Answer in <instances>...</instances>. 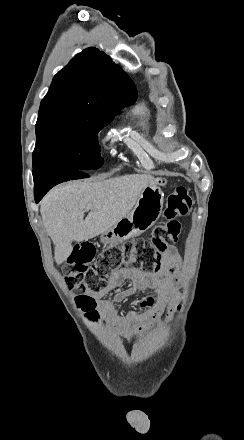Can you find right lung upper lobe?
<instances>
[{"instance_id": "obj_1", "label": "right lung upper lobe", "mask_w": 244, "mask_h": 440, "mask_svg": "<svg viewBox=\"0 0 244 440\" xmlns=\"http://www.w3.org/2000/svg\"><path fill=\"white\" fill-rule=\"evenodd\" d=\"M136 99L129 76L104 52L90 47L55 75L41 103H78L115 112Z\"/></svg>"}]
</instances>
